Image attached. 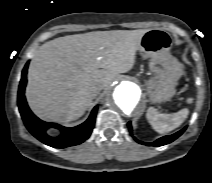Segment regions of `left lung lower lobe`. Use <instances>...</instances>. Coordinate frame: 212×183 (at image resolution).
I'll use <instances>...</instances> for the list:
<instances>
[{
  "mask_svg": "<svg viewBox=\"0 0 212 183\" xmlns=\"http://www.w3.org/2000/svg\"><path fill=\"white\" fill-rule=\"evenodd\" d=\"M128 127L130 129V131L132 130L131 128V123H128ZM186 127L183 128L182 130L178 131L177 133L173 134V135H169V136H164L158 140H156L153 143H144L141 141H138L137 139H135L137 142L141 143V144H145V145H149V146H162L168 143H171L172 141H174L175 139H177L184 131H185Z\"/></svg>",
  "mask_w": 212,
  "mask_h": 183,
  "instance_id": "left-lung-lower-lobe-1",
  "label": "left lung lower lobe"
}]
</instances>
